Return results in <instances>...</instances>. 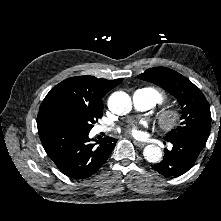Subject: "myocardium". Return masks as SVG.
I'll list each match as a JSON object with an SVG mask.
<instances>
[{"label":"myocardium","mask_w":221,"mask_h":221,"mask_svg":"<svg viewBox=\"0 0 221 221\" xmlns=\"http://www.w3.org/2000/svg\"><path fill=\"white\" fill-rule=\"evenodd\" d=\"M181 120V113L176 108H167L158 115V124L161 129L171 131L175 129Z\"/></svg>","instance_id":"obj_1"}]
</instances>
